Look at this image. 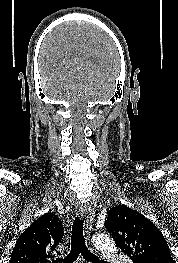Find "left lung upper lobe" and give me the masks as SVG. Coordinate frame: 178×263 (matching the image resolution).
Wrapping results in <instances>:
<instances>
[{"instance_id":"1","label":"left lung upper lobe","mask_w":178,"mask_h":263,"mask_svg":"<svg viewBox=\"0 0 178 263\" xmlns=\"http://www.w3.org/2000/svg\"><path fill=\"white\" fill-rule=\"evenodd\" d=\"M104 226L133 263H175L163 234L141 213L124 205L113 207Z\"/></svg>"}]
</instances>
